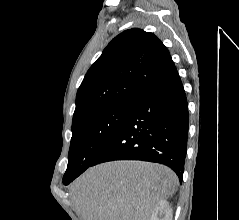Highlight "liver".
<instances>
[{
    "mask_svg": "<svg viewBox=\"0 0 239 220\" xmlns=\"http://www.w3.org/2000/svg\"><path fill=\"white\" fill-rule=\"evenodd\" d=\"M177 185V176L166 166L111 161L82 174L71 185V198L81 220H150Z\"/></svg>",
    "mask_w": 239,
    "mask_h": 220,
    "instance_id": "liver-1",
    "label": "liver"
}]
</instances>
